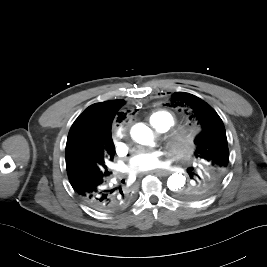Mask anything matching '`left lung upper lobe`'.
Segmentation results:
<instances>
[{"instance_id":"1","label":"left lung upper lobe","mask_w":267,"mask_h":267,"mask_svg":"<svg viewBox=\"0 0 267 267\" xmlns=\"http://www.w3.org/2000/svg\"><path fill=\"white\" fill-rule=\"evenodd\" d=\"M170 107L189 113L202 128L195 138L194 157L198 166L190 173L192 181L178 191L183 200H196L211 195L222 183L229 168V150L224 124L205 101L186 92L172 95Z\"/></svg>"}]
</instances>
